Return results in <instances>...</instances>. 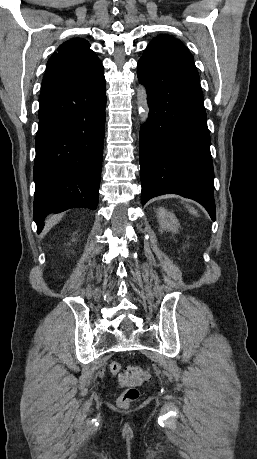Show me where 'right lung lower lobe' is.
<instances>
[{"mask_svg":"<svg viewBox=\"0 0 257 459\" xmlns=\"http://www.w3.org/2000/svg\"><path fill=\"white\" fill-rule=\"evenodd\" d=\"M104 74L81 85L41 94L34 163L38 233L51 212L96 210L105 132Z\"/></svg>","mask_w":257,"mask_h":459,"instance_id":"98d812e1","label":"right lung lower lobe"}]
</instances>
